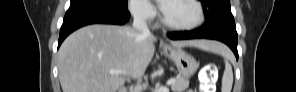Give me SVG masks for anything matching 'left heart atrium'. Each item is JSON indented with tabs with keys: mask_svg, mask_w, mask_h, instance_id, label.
I'll list each match as a JSON object with an SVG mask.
<instances>
[{
	"mask_svg": "<svg viewBox=\"0 0 296 92\" xmlns=\"http://www.w3.org/2000/svg\"><path fill=\"white\" fill-rule=\"evenodd\" d=\"M161 8L163 11H165L166 8V2H161Z\"/></svg>",
	"mask_w": 296,
	"mask_h": 92,
	"instance_id": "obj_1",
	"label": "left heart atrium"
}]
</instances>
